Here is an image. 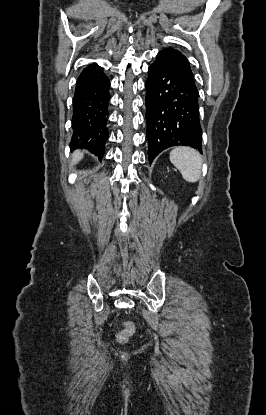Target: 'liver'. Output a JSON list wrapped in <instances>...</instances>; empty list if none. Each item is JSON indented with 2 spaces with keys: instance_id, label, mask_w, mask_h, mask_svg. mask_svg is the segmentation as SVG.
<instances>
[{
  "instance_id": "obj_1",
  "label": "liver",
  "mask_w": 266,
  "mask_h": 415,
  "mask_svg": "<svg viewBox=\"0 0 266 415\" xmlns=\"http://www.w3.org/2000/svg\"><path fill=\"white\" fill-rule=\"evenodd\" d=\"M83 158V153L80 151H75L72 155V164L78 163Z\"/></svg>"
}]
</instances>
